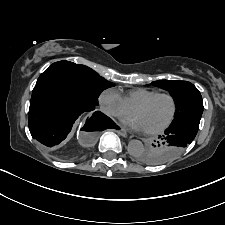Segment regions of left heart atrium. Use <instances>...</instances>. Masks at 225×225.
Wrapping results in <instances>:
<instances>
[{"instance_id": "obj_1", "label": "left heart atrium", "mask_w": 225, "mask_h": 225, "mask_svg": "<svg viewBox=\"0 0 225 225\" xmlns=\"http://www.w3.org/2000/svg\"><path fill=\"white\" fill-rule=\"evenodd\" d=\"M124 122L134 130H145L143 124L136 116H130L124 119Z\"/></svg>"}]
</instances>
